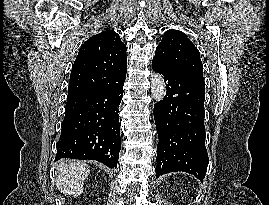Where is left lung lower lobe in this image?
Here are the masks:
<instances>
[{
    "label": "left lung lower lobe",
    "instance_id": "obj_1",
    "mask_svg": "<svg viewBox=\"0 0 269 205\" xmlns=\"http://www.w3.org/2000/svg\"><path fill=\"white\" fill-rule=\"evenodd\" d=\"M152 68L167 82L164 100L154 106L159 137L157 177L183 171L203 181L209 162L205 147L204 78L170 71L156 59Z\"/></svg>",
    "mask_w": 269,
    "mask_h": 205
}]
</instances>
